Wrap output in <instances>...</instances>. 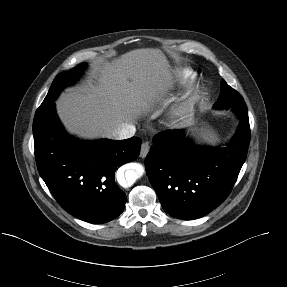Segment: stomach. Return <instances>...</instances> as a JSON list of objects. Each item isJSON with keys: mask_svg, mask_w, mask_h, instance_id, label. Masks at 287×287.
I'll return each instance as SVG.
<instances>
[{"mask_svg": "<svg viewBox=\"0 0 287 287\" xmlns=\"http://www.w3.org/2000/svg\"><path fill=\"white\" fill-rule=\"evenodd\" d=\"M190 135L199 142L215 144L218 141L216 132L205 122L195 118L194 113L191 117Z\"/></svg>", "mask_w": 287, "mask_h": 287, "instance_id": "1", "label": "stomach"}]
</instances>
